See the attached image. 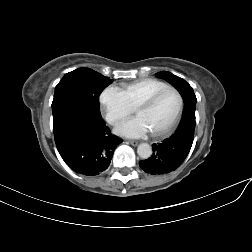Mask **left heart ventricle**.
Listing matches in <instances>:
<instances>
[{
  "instance_id": "obj_1",
  "label": "left heart ventricle",
  "mask_w": 252,
  "mask_h": 252,
  "mask_svg": "<svg viewBox=\"0 0 252 252\" xmlns=\"http://www.w3.org/2000/svg\"><path fill=\"white\" fill-rule=\"evenodd\" d=\"M177 106V95L172 91H167L150 106L138 109L136 115L144 121L148 131H156L169 123Z\"/></svg>"
}]
</instances>
